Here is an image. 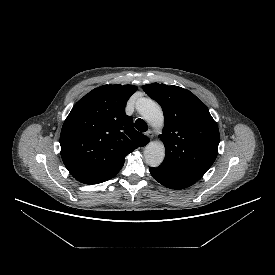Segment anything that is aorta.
<instances>
[{
  "label": "aorta",
  "instance_id": "aorta-1",
  "mask_svg": "<svg viewBox=\"0 0 275 275\" xmlns=\"http://www.w3.org/2000/svg\"><path fill=\"white\" fill-rule=\"evenodd\" d=\"M138 111L141 116L153 127L162 128L164 124L163 111L161 107L151 99H142ZM165 147L162 142L155 141L146 145L144 158L151 167H158L164 160Z\"/></svg>",
  "mask_w": 275,
  "mask_h": 275
}]
</instances>
